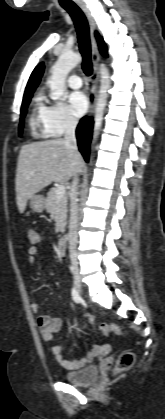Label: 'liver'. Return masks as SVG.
I'll list each match as a JSON object with an SVG mask.
<instances>
[{"instance_id":"obj_1","label":"liver","mask_w":165,"mask_h":419,"mask_svg":"<svg viewBox=\"0 0 165 419\" xmlns=\"http://www.w3.org/2000/svg\"><path fill=\"white\" fill-rule=\"evenodd\" d=\"M84 161L73 154L64 139H53L24 145L19 153L16 171V200L23 213L27 200L52 182H67L81 171Z\"/></svg>"}]
</instances>
